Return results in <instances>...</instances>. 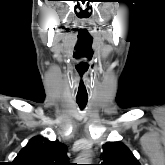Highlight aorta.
<instances>
[{
	"label": "aorta",
	"mask_w": 165,
	"mask_h": 165,
	"mask_svg": "<svg viewBox=\"0 0 165 165\" xmlns=\"http://www.w3.org/2000/svg\"><path fill=\"white\" fill-rule=\"evenodd\" d=\"M90 155L87 152H84L80 154L77 158L76 161L78 164H90Z\"/></svg>",
	"instance_id": "1"
}]
</instances>
